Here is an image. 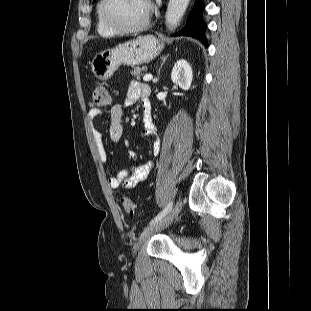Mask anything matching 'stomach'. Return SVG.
<instances>
[{"mask_svg":"<svg viewBox=\"0 0 311 311\" xmlns=\"http://www.w3.org/2000/svg\"><path fill=\"white\" fill-rule=\"evenodd\" d=\"M163 48V42L153 35L138 37L96 54L91 63L92 72L98 79L107 80L120 65L136 66L148 63Z\"/></svg>","mask_w":311,"mask_h":311,"instance_id":"obj_1","label":"stomach"}]
</instances>
